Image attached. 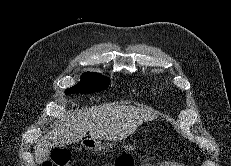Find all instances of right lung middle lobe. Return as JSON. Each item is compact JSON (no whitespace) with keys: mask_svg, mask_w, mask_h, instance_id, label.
Returning <instances> with one entry per match:
<instances>
[{"mask_svg":"<svg viewBox=\"0 0 231 166\" xmlns=\"http://www.w3.org/2000/svg\"><path fill=\"white\" fill-rule=\"evenodd\" d=\"M110 82V78L102 74L86 72L82 74L81 81L77 85L65 90V94L98 92L106 89Z\"/></svg>","mask_w":231,"mask_h":166,"instance_id":"right-lung-middle-lobe-1","label":"right lung middle lobe"}]
</instances>
